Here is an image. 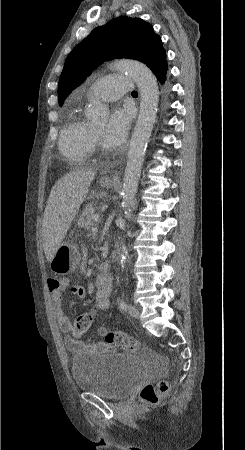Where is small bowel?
<instances>
[{
	"label": "small bowel",
	"instance_id": "small-bowel-1",
	"mask_svg": "<svg viewBox=\"0 0 245 450\" xmlns=\"http://www.w3.org/2000/svg\"><path fill=\"white\" fill-rule=\"evenodd\" d=\"M96 300L95 304L100 310H107L111 306V294L113 291V278L111 274H100L96 280ZM68 291L72 295L85 298L87 291L79 285H70V280L66 279L60 289L51 291V308L61 330L65 334V343L72 356H78L82 352H91L95 349H109V344L101 341L97 342L96 337H102L106 333L105 328H99L95 335L86 340H76L71 337V322L63 307L62 294Z\"/></svg>",
	"mask_w": 245,
	"mask_h": 450
}]
</instances>
